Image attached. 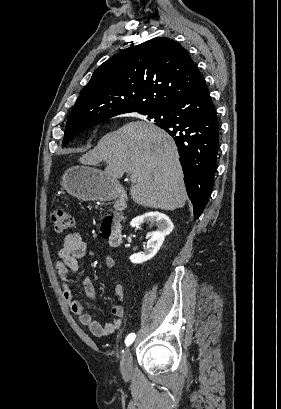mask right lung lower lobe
<instances>
[{"instance_id": "obj_1", "label": "right lung lower lobe", "mask_w": 281, "mask_h": 409, "mask_svg": "<svg viewBox=\"0 0 281 409\" xmlns=\"http://www.w3.org/2000/svg\"><path fill=\"white\" fill-rule=\"evenodd\" d=\"M152 115L178 147L187 193L198 218L212 191L219 145L216 109L203 77L188 93Z\"/></svg>"}]
</instances>
